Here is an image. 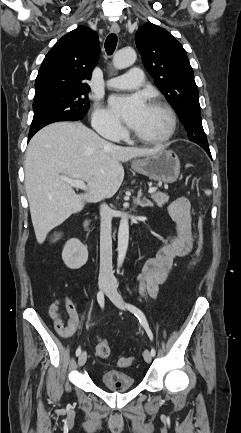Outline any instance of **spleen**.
<instances>
[{"label":"spleen","mask_w":241,"mask_h":433,"mask_svg":"<svg viewBox=\"0 0 241 433\" xmlns=\"http://www.w3.org/2000/svg\"><path fill=\"white\" fill-rule=\"evenodd\" d=\"M205 194H206V195H210V194H211V191L207 189V190H205Z\"/></svg>","instance_id":"spleen-1"}]
</instances>
